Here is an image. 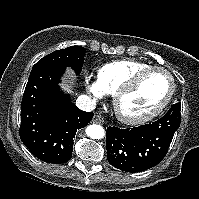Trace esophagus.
Returning a JSON list of instances; mask_svg holds the SVG:
<instances>
[{"label":"esophagus","mask_w":199,"mask_h":199,"mask_svg":"<svg viewBox=\"0 0 199 199\" xmlns=\"http://www.w3.org/2000/svg\"><path fill=\"white\" fill-rule=\"evenodd\" d=\"M93 123H96V124H104V119L100 116V115H95L93 117Z\"/></svg>","instance_id":"34e87169"}]
</instances>
